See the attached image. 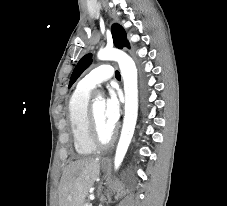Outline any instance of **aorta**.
Wrapping results in <instances>:
<instances>
[{
  "mask_svg": "<svg viewBox=\"0 0 227 206\" xmlns=\"http://www.w3.org/2000/svg\"><path fill=\"white\" fill-rule=\"evenodd\" d=\"M97 58L99 60L117 61L124 81L125 115L114 160L115 169H118L128 150L137 121L138 115L137 68L133 59L125 52L119 49L115 48L100 49L97 53Z\"/></svg>",
  "mask_w": 227,
  "mask_h": 206,
  "instance_id": "obj_1",
  "label": "aorta"
}]
</instances>
